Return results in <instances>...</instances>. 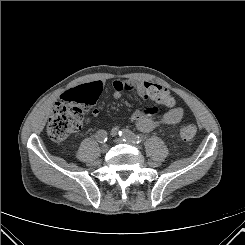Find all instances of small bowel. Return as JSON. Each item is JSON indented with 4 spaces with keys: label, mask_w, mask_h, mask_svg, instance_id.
<instances>
[{
    "label": "small bowel",
    "mask_w": 245,
    "mask_h": 245,
    "mask_svg": "<svg viewBox=\"0 0 245 245\" xmlns=\"http://www.w3.org/2000/svg\"><path fill=\"white\" fill-rule=\"evenodd\" d=\"M101 85L100 82H96ZM113 96L119 99L125 91H135L141 98L152 100L157 105L146 108L145 110L136 109L132 112L129 120L135 124L138 130L142 132H151L163 125H174L179 123L184 116V109L175 106L176 96L172 92L160 85L150 82H138L129 80H115L112 83ZM162 108L166 110L155 118ZM98 109L92 111V115L97 117ZM118 128L112 130V134H117Z\"/></svg>",
    "instance_id": "small-bowel-1"
}]
</instances>
